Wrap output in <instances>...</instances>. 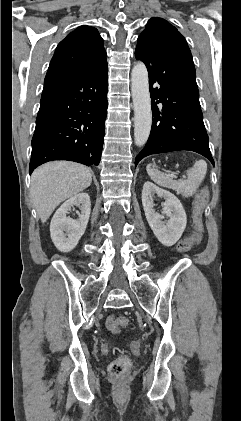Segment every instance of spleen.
Returning a JSON list of instances; mask_svg holds the SVG:
<instances>
[{
    "instance_id": "spleen-1",
    "label": "spleen",
    "mask_w": 241,
    "mask_h": 421,
    "mask_svg": "<svg viewBox=\"0 0 241 421\" xmlns=\"http://www.w3.org/2000/svg\"><path fill=\"white\" fill-rule=\"evenodd\" d=\"M146 169L150 178L158 185L172 189L183 197H191L196 193L206 175L207 164L204 160L196 161L193 167L186 171L187 179L180 180H173L167 174L152 169L150 164Z\"/></svg>"
}]
</instances>
